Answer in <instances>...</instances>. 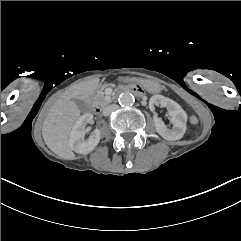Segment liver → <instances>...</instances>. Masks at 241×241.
I'll list each match as a JSON object with an SVG mask.
<instances>
[{"mask_svg": "<svg viewBox=\"0 0 241 241\" xmlns=\"http://www.w3.org/2000/svg\"><path fill=\"white\" fill-rule=\"evenodd\" d=\"M99 78L82 81L58 98L51 106L42 127L43 139L55 154L74 159L69 145V135L75 121L80 116L78 105L72 99L84 100L91 96L99 85Z\"/></svg>", "mask_w": 241, "mask_h": 241, "instance_id": "6515ba94", "label": "liver"}]
</instances>
